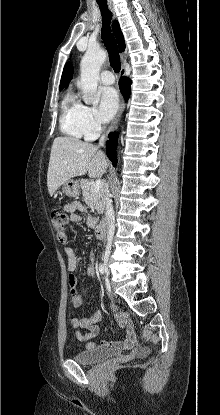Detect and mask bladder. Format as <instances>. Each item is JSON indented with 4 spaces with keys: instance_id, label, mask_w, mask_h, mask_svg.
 I'll return each mask as SVG.
<instances>
[{
    "instance_id": "31cf9c89",
    "label": "bladder",
    "mask_w": 220,
    "mask_h": 415,
    "mask_svg": "<svg viewBox=\"0 0 220 415\" xmlns=\"http://www.w3.org/2000/svg\"><path fill=\"white\" fill-rule=\"evenodd\" d=\"M117 354V352L110 351L104 348L90 347L80 350L74 356V360L82 364H92L109 358H113Z\"/></svg>"
}]
</instances>
